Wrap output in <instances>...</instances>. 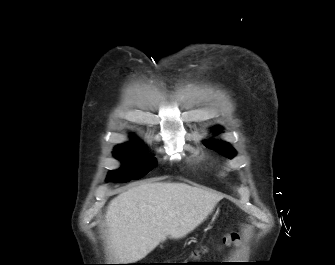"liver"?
Segmentation results:
<instances>
[{"label": "liver", "mask_w": 335, "mask_h": 265, "mask_svg": "<svg viewBox=\"0 0 335 265\" xmlns=\"http://www.w3.org/2000/svg\"><path fill=\"white\" fill-rule=\"evenodd\" d=\"M222 196L185 183H143L120 193L107 207L108 243L118 262H137L160 242L192 232Z\"/></svg>", "instance_id": "liver-1"}]
</instances>
